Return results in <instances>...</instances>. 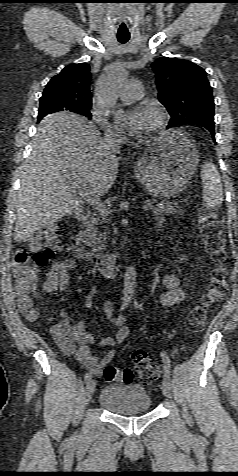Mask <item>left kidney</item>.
Here are the masks:
<instances>
[{
    "instance_id": "obj_1",
    "label": "left kidney",
    "mask_w": 238,
    "mask_h": 476,
    "mask_svg": "<svg viewBox=\"0 0 238 476\" xmlns=\"http://www.w3.org/2000/svg\"><path fill=\"white\" fill-rule=\"evenodd\" d=\"M180 260H181V261H182V260H186L185 256H182V257L180 258ZM178 271L180 272V269H178Z\"/></svg>"
}]
</instances>
